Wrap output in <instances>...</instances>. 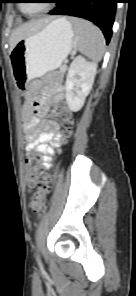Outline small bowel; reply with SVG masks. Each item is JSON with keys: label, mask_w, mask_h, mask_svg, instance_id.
I'll use <instances>...</instances> for the list:
<instances>
[{"label": "small bowel", "mask_w": 136, "mask_h": 296, "mask_svg": "<svg viewBox=\"0 0 136 296\" xmlns=\"http://www.w3.org/2000/svg\"><path fill=\"white\" fill-rule=\"evenodd\" d=\"M26 103L22 110L23 131L27 141V156L33 152L41 154L44 169L50 167L52 155L61 144V128L56 116L59 105L64 101L65 92L61 84L50 86L42 92V97L32 105L31 94L26 95ZM54 108L48 118L43 114L48 105Z\"/></svg>", "instance_id": "obj_1"}]
</instances>
